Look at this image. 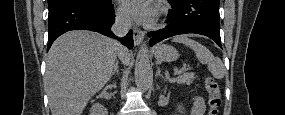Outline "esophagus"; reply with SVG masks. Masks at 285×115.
<instances>
[{
  "label": "esophagus",
  "instance_id": "1",
  "mask_svg": "<svg viewBox=\"0 0 285 115\" xmlns=\"http://www.w3.org/2000/svg\"><path fill=\"white\" fill-rule=\"evenodd\" d=\"M144 36H145V33L142 30L137 29V28L133 29V39H134L135 45L137 46L140 45L144 39Z\"/></svg>",
  "mask_w": 285,
  "mask_h": 115
}]
</instances>
